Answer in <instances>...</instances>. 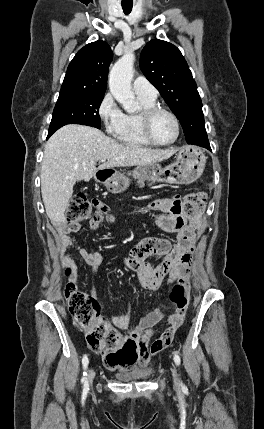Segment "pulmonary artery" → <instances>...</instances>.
<instances>
[{
    "mask_svg": "<svg viewBox=\"0 0 264 429\" xmlns=\"http://www.w3.org/2000/svg\"><path fill=\"white\" fill-rule=\"evenodd\" d=\"M133 89L138 96L157 98L158 91L145 77L138 76L133 81Z\"/></svg>",
    "mask_w": 264,
    "mask_h": 429,
    "instance_id": "1",
    "label": "pulmonary artery"
}]
</instances>
